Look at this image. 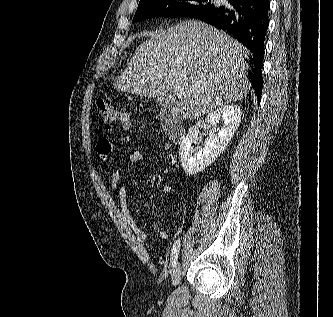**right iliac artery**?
I'll return each mask as SVG.
<instances>
[{
    "mask_svg": "<svg viewBox=\"0 0 333 317\" xmlns=\"http://www.w3.org/2000/svg\"><path fill=\"white\" fill-rule=\"evenodd\" d=\"M180 242H181L180 239L176 240L171 249V263L173 267L176 265L177 262V257L180 249Z\"/></svg>",
    "mask_w": 333,
    "mask_h": 317,
    "instance_id": "obj_1",
    "label": "right iliac artery"
}]
</instances>
